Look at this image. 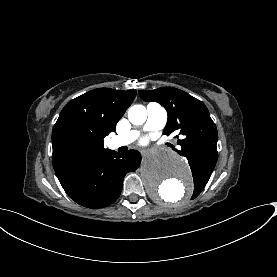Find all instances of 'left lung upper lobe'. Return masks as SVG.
Instances as JSON below:
<instances>
[{
    "mask_svg": "<svg viewBox=\"0 0 277 277\" xmlns=\"http://www.w3.org/2000/svg\"><path fill=\"white\" fill-rule=\"evenodd\" d=\"M141 98L147 102L155 101L165 107L168 121L164 134L179 131L184 139L177 141L186 148L197 147L206 143L217 144V128L210 117L205 104L188 93L173 87L139 91ZM212 170L199 169L192 172L194 178L193 198H196L207 184Z\"/></svg>",
    "mask_w": 277,
    "mask_h": 277,
    "instance_id": "left-lung-upper-lobe-1",
    "label": "left lung upper lobe"
}]
</instances>
